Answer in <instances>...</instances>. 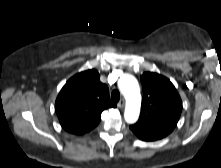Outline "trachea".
Segmentation results:
<instances>
[{"label":"trachea","mask_w":221,"mask_h":168,"mask_svg":"<svg viewBox=\"0 0 221 168\" xmlns=\"http://www.w3.org/2000/svg\"><path fill=\"white\" fill-rule=\"evenodd\" d=\"M111 99L115 102H118L120 99V93L118 90H113L111 93Z\"/></svg>","instance_id":"3493384b"}]
</instances>
